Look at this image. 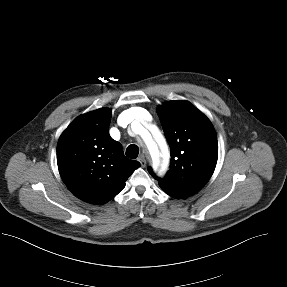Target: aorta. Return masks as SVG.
<instances>
[{
  "instance_id": "762f6f07",
  "label": "aorta",
  "mask_w": 287,
  "mask_h": 287,
  "mask_svg": "<svg viewBox=\"0 0 287 287\" xmlns=\"http://www.w3.org/2000/svg\"><path fill=\"white\" fill-rule=\"evenodd\" d=\"M148 150H149V153H150L151 158H152V165H153L154 170H158L160 166L162 167L163 170H165L166 164H167L168 158H169L168 150H166L165 152L162 153L160 151L159 147L157 146V144L154 142H151L148 145ZM162 159L165 160L164 163H163Z\"/></svg>"
}]
</instances>
